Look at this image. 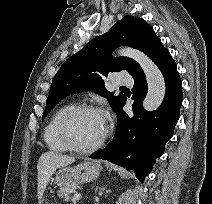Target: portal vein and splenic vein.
<instances>
[{
  "instance_id": "portal-vein-and-splenic-vein-1",
  "label": "portal vein and splenic vein",
  "mask_w": 212,
  "mask_h": 204,
  "mask_svg": "<svg viewBox=\"0 0 212 204\" xmlns=\"http://www.w3.org/2000/svg\"><path fill=\"white\" fill-rule=\"evenodd\" d=\"M81 199V195L80 194H75L74 196H73V201H78V200H80Z\"/></svg>"
}]
</instances>
